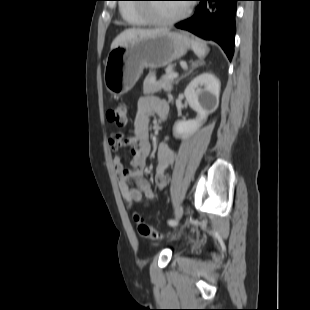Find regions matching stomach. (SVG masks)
Instances as JSON below:
<instances>
[{"label":"stomach","mask_w":310,"mask_h":310,"mask_svg":"<svg viewBox=\"0 0 310 310\" xmlns=\"http://www.w3.org/2000/svg\"><path fill=\"white\" fill-rule=\"evenodd\" d=\"M192 47L188 36L171 31L119 45L109 52L105 62L106 88L113 95L125 94L133 88L145 67L170 65Z\"/></svg>","instance_id":"obj_1"}]
</instances>
